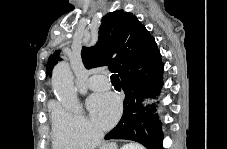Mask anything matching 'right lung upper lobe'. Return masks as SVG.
<instances>
[{
	"instance_id": "right-lung-upper-lobe-1",
	"label": "right lung upper lobe",
	"mask_w": 227,
	"mask_h": 149,
	"mask_svg": "<svg viewBox=\"0 0 227 149\" xmlns=\"http://www.w3.org/2000/svg\"><path fill=\"white\" fill-rule=\"evenodd\" d=\"M81 56L87 69L108 65L109 70L117 72L121 78L161 57L154 37L136 16L123 10L110 12L102 18L98 42L95 46L83 47ZM58 60L55 54L51 56L48 74L51 75Z\"/></svg>"
}]
</instances>
